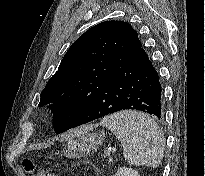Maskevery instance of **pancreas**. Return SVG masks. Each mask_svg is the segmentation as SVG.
Returning a JSON list of instances; mask_svg holds the SVG:
<instances>
[{
	"label": "pancreas",
	"instance_id": "obj_1",
	"mask_svg": "<svg viewBox=\"0 0 205 176\" xmlns=\"http://www.w3.org/2000/svg\"><path fill=\"white\" fill-rule=\"evenodd\" d=\"M112 161H113V160H112V158L110 157V158H109V162L111 163Z\"/></svg>",
	"mask_w": 205,
	"mask_h": 176
}]
</instances>
